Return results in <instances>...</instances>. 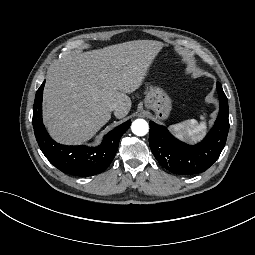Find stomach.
Masks as SVG:
<instances>
[{
	"instance_id": "obj_1",
	"label": "stomach",
	"mask_w": 255,
	"mask_h": 255,
	"mask_svg": "<svg viewBox=\"0 0 255 255\" xmlns=\"http://www.w3.org/2000/svg\"><path fill=\"white\" fill-rule=\"evenodd\" d=\"M170 105L171 102L168 95L159 88H150L144 98V107L153 110L159 119L168 116Z\"/></svg>"
}]
</instances>
